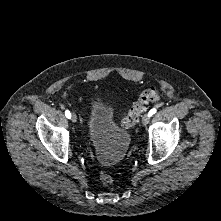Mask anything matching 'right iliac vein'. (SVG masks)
I'll return each instance as SVG.
<instances>
[{
    "mask_svg": "<svg viewBox=\"0 0 221 221\" xmlns=\"http://www.w3.org/2000/svg\"><path fill=\"white\" fill-rule=\"evenodd\" d=\"M71 120H72V122H74V123L77 121V116H76L75 113H72V115H71Z\"/></svg>",
    "mask_w": 221,
    "mask_h": 221,
    "instance_id": "right-iliac-vein-1",
    "label": "right iliac vein"
}]
</instances>
